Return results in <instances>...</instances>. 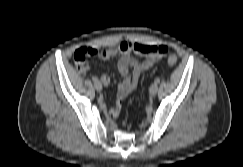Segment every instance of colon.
Masks as SVG:
<instances>
[{
  "label": "colon",
  "instance_id": "1",
  "mask_svg": "<svg viewBox=\"0 0 243 167\" xmlns=\"http://www.w3.org/2000/svg\"><path fill=\"white\" fill-rule=\"evenodd\" d=\"M90 52H91L90 48H84V47H81L74 52V56H73L74 63H75L76 68L79 71L85 70V68L87 66L86 59L88 56H91ZM167 61H168V64L173 67L177 63V57L175 55H170L168 57Z\"/></svg>",
  "mask_w": 243,
  "mask_h": 167
}]
</instances>
